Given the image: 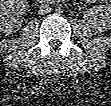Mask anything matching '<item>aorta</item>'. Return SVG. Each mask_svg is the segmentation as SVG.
<instances>
[{
	"label": "aorta",
	"instance_id": "1",
	"mask_svg": "<svg viewBox=\"0 0 111 106\" xmlns=\"http://www.w3.org/2000/svg\"><path fill=\"white\" fill-rule=\"evenodd\" d=\"M56 12H58V13H62L64 10H63V7L61 6V5H58L57 7H56Z\"/></svg>",
	"mask_w": 111,
	"mask_h": 106
}]
</instances>
